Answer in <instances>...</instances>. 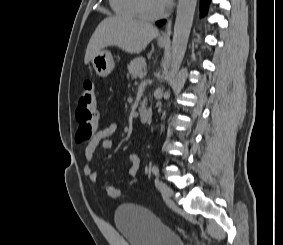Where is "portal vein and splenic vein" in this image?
<instances>
[{"label":"portal vein and splenic vein","mask_w":283,"mask_h":245,"mask_svg":"<svg viewBox=\"0 0 283 245\" xmlns=\"http://www.w3.org/2000/svg\"><path fill=\"white\" fill-rule=\"evenodd\" d=\"M145 75H146V73H145V72H142V73L140 74V78L144 77Z\"/></svg>","instance_id":"obj_1"}]
</instances>
